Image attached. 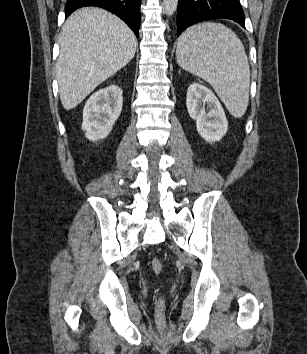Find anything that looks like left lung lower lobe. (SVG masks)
I'll use <instances>...</instances> for the list:
<instances>
[{
	"label": "left lung lower lobe",
	"mask_w": 307,
	"mask_h": 354,
	"mask_svg": "<svg viewBox=\"0 0 307 354\" xmlns=\"http://www.w3.org/2000/svg\"><path fill=\"white\" fill-rule=\"evenodd\" d=\"M219 18L233 20L245 28L239 0H179L177 36L195 23Z\"/></svg>",
	"instance_id": "1"
}]
</instances>
